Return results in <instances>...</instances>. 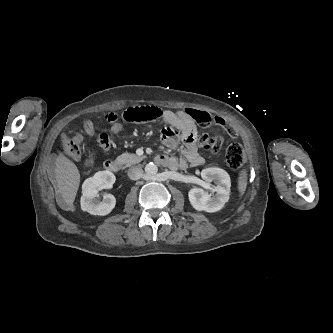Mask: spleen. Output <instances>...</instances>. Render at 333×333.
I'll list each match as a JSON object with an SVG mask.
<instances>
[{
	"label": "spleen",
	"instance_id": "spleen-1",
	"mask_svg": "<svg viewBox=\"0 0 333 333\" xmlns=\"http://www.w3.org/2000/svg\"><path fill=\"white\" fill-rule=\"evenodd\" d=\"M246 186H247V173H246V170H243L240 173L239 180H238V189L241 194L245 192Z\"/></svg>",
	"mask_w": 333,
	"mask_h": 333
}]
</instances>
